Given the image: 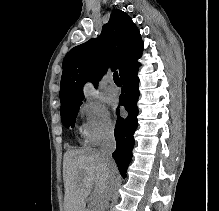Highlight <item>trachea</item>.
Segmentation results:
<instances>
[{
  "instance_id": "3493384b",
  "label": "trachea",
  "mask_w": 219,
  "mask_h": 211,
  "mask_svg": "<svg viewBox=\"0 0 219 211\" xmlns=\"http://www.w3.org/2000/svg\"><path fill=\"white\" fill-rule=\"evenodd\" d=\"M113 79L116 85H122L121 80L118 76V72L114 70Z\"/></svg>"
}]
</instances>
